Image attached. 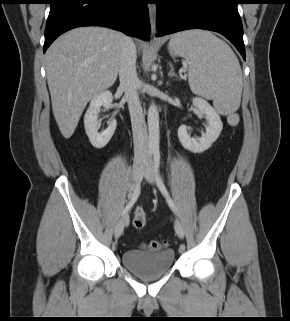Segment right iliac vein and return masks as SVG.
I'll list each match as a JSON object with an SVG mask.
<instances>
[{
  "instance_id": "right-iliac-vein-1",
  "label": "right iliac vein",
  "mask_w": 290,
  "mask_h": 321,
  "mask_svg": "<svg viewBox=\"0 0 290 321\" xmlns=\"http://www.w3.org/2000/svg\"><path fill=\"white\" fill-rule=\"evenodd\" d=\"M143 166L144 163L141 159L135 160L134 165H133V179L136 183L139 182L140 176L143 172ZM128 223V215L125 214L122 216V218L117 222L114 230V236L115 238H119L124 230V227Z\"/></svg>"
}]
</instances>
